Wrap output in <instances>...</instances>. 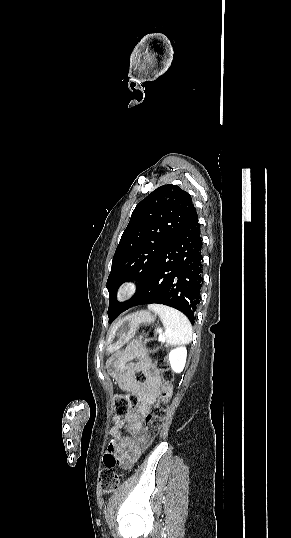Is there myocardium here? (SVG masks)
Instances as JSON below:
<instances>
[{
	"instance_id": "myocardium-1",
	"label": "myocardium",
	"mask_w": 291,
	"mask_h": 538,
	"mask_svg": "<svg viewBox=\"0 0 291 538\" xmlns=\"http://www.w3.org/2000/svg\"><path fill=\"white\" fill-rule=\"evenodd\" d=\"M138 290L139 284L137 282L126 281L119 286L116 292V300L118 302L126 301L130 299L133 295H135Z\"/></svg>"
}]
</instances>
